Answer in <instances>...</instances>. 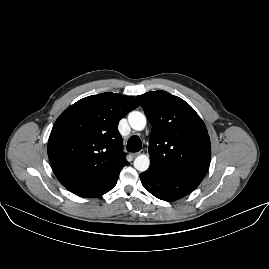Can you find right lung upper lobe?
<instances>
[{
  "mask_svg": "<svg viewBox=\"0 0 269 269\" xmlns=\"http://www.w3.org/2000/svg\"><path fill=\"white\" fill-rule=\"evenodd\" d=\"M138 106L134 96L106 92L77 101L59 116L48 157L63 186L104 178L127 163L118 123Z\"/></svg>",
  "mask_w": 269,
  "mask_h": 269,
  "instance_id": "1",
  "label": "right lung upper lobe"
}]
</instances>
